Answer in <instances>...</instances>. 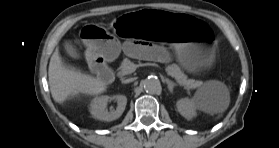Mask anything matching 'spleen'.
<instances>
[{
  "instance_id": "spleen-1",
  "label": "spleen",
  "mask_w": 279,
  "mask_h": 148,
  "mask_svg": "<svg viewBox=\"0 0 279 148\" xmlns=\"http://www.w3.org/2000/svg\"><path fill=\"white\" fill-rule=\"evenodd\" d=\"M218 86H221V84L217 81L206 82L202 87V89L197 92L196 100L200 101L203 96L209 95ZM227 106H228V99H226L225 102H223L217 107V112L219 113L218 118L221 117V114L226 110Z\"/></svg>"
}]
</instances>
